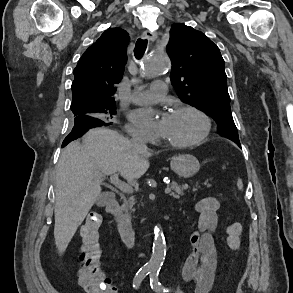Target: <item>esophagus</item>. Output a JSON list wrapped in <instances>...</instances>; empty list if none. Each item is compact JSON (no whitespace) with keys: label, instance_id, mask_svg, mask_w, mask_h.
Instances as JSON below:
<instances>
[{"label":"esophagus","instance_id":"1","mask_svg":"<svg viewBox=\"0 0 293 293\" xmlns=\"http://www.w3.org/2000/svg\"><path fill=\"white\" fill-rule=\"evenodd\" d=\"M143 39H147L149 41H154L157 38V33L153 31H145L142 34Z\"/></svg>","mask_w":293,"mask_h":293}]
</instances>
